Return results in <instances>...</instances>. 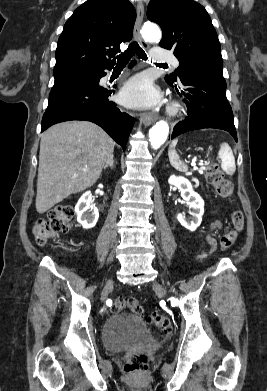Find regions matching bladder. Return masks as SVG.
Returning a JSON list of instances; mask_svg holds the SVG:
<instances>
[{"instance_id": "31cf9c89", "label": "bladder", "mask_w": 267, "mask_h": 391, "mask_svg": "<svg viewBox=\"0 0 267 391\" xmlns=\"http://www.w3.org/2000/svg\"><path fill=\"white\" fill-rule=\"evenodd\" d=\"M104 346L110 351H123L151 340L142 321L129 313L118 312L110 316L102 331Z\"/></svg>"}]
</instances>
